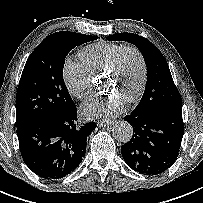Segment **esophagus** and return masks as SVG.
I'll return each mask as SVG.
<instances>
[{
	"mask_svg": "<svg viewBox=\"0 0 203 203\" xmlns=\"http://www.w3.org/2000/svg\"><path fill=\"white\" fill-rule=\"evenodd\" d=\"M113 123V121H98L97 122V125L99 126V127H106V126H109V125H111Z\"/></svg>",
	"mask_w": 203,
	"mask_h": 203,
	"instance_id": "esophagus-1",
	"label": "esophagus"
}]
</instances>
